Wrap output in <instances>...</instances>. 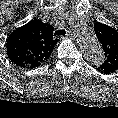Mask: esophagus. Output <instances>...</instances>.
Masks as SVG:
<instances>
[{
    "mask_svg": "<svg viewBox=\"0 0 118 118\" xmlns=\"http://www.w3.org/2000/svg\"><path fill=\"white\" fill-rule=\"evenodd\" d=\"M71 36H72V34H71V33H68V34L66 35V37H61V39L70 38Z\"/></svg>",
    "mask_w": 118,
    "mask_h": 118,
    "instance_id": "esophagus-1",
    "label": "esophagus"
}]
</instances>
